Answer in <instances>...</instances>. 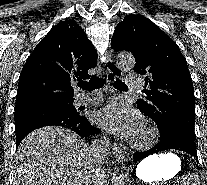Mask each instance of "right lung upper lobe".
Wrapping results in <instances>:
<instances>
[{"label": "right lung upper lobe", "mask_w": 207, "mask_h": 185, "mask_svg": "<svg viewBox=\"0 0 207 185\" xmlns=\"http://www.w3.org/2000/svg\"><path fill=\"white\" fill-rule=\"evenodd\" d=\"M97 52L72 20L59 22L35 47L19 78L15 111L40 105L72 103L73 85L88 79Z\"/></svg>", "instance_id": "1"}]
</instances>
